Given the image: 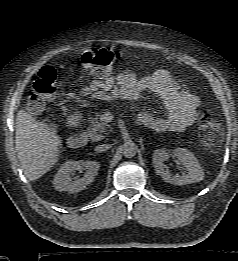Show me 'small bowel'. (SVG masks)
Listing matches in <instances>:
<instances>
[{"label": "small bowel", "mask_w": 238, "mask_h": 261, "mask_svg": "<svg viewBox=\"0 0 238 261\" xmlns=\"http://www.w3.org/2000/svg\"><path fill=\"white\" fill-rule=\"evenodd\" d=\"M145 92L159 97L166 108V115L139 114V121L156 131H183L193 124L200 105L199 98L165 69L151 75H139L126 69L116 75L94 79L81 89L84 96L99 101L116 99L134 101Z\"/></svg>", "instance_id": "small-bowel-1"}]
</instances>
